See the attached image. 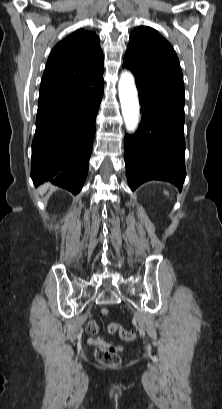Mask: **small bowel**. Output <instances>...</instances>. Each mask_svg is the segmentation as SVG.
<instances>
[{
  "label": "small bowel",
  "mask_w": 222,
  "mask_h": 409,
  "mask_svg": "<svg viewBox=\"0 0 222 409\" xmlns=\"http://www.w3.org/2000/svg\"><path fill=\"white\" fill-rule=\"evenodd\" d=\"M98 329V324L95 321H90L88 323V328L87 331L90 333L92 336L89 339V343L91 345H98V346H107L109 345V342L102 336L96 335Z\"/></svg>",
  "instance_id": "small-bowel-1"
}]
</instances>
